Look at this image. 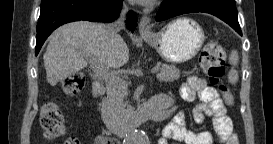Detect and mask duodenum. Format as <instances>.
<instances>
[{
	"instance_id": "obj_1",
	"label": "duodenum",
	"mask_w": 273,
	"mask_h": 144,
	"mask_svg": "<svg viewBox=\"0 0 273 144\" xmlns=\"http://www.w3.org/2000/svg\"><path fill=\"white\" fill-rule=\"evenodd\" d=\"M104 93V85L99 81H95L91 89L92 97L95 100H99ZM169 106L170 100L166 95H156L146 104L138 106L133 115L114 128V132L117 136L122 137L146 120L162 121L168 116L167 110Z\"/></svg>"
}]
</instances>
